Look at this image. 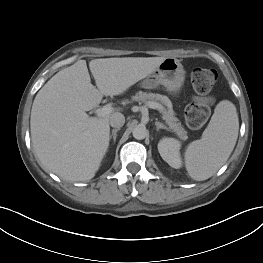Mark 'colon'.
<instances>
[{"label": "colon", "mask_w": 263, "mask_h": 263, "mask_svg": "<svg viewBox=\"0 0 263 263\" xmlns=\"http://www.w3.org/2000/svg\"><path fill=\"white\" fill-rule=\"evenodd\" d=\"M217 80V72L213 69L196 68L191 74L195 91L201 96L207 95ZM209 106L205 98L190 104L185 112L187 124L194 129L202 127L209 116Z\"/></svg>", "instance_id": "obj_1"}]
</instances>
